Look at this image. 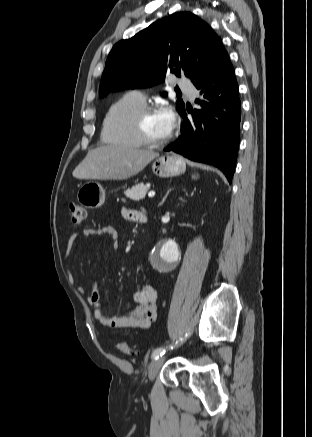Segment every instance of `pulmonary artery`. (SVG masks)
<instances>
[{"mask_svg":"<svg viewBox=\"0 0 312 437\" xmlns=\"http://www.w3.org/2000/svg\"><path fill=\"white\" fill-rule=\"evenodd\" d=\"M177 83H178V86L181 89H183L185 92H187L191 98L195 97L197 91L192 85H190L189 83H187L183 79H179ZM132 94L134 97L139 99L141 102H145V96L142 93L136 91V92H133Z\"/></svg>","mask_w":312,"mask_h":437,"instance_id":"obj_1","label":"pulmonary artery"}]
</instances>
